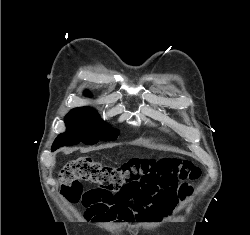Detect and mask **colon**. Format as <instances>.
Returning a JSON list of instances; mask_svg holds the SVG:
<instances>
[{"label": "colon", "mask_w": 250, "mask_h": 235, "mask_svg": "<svg viewBox=\"0 0 250 235\" xmlns=\"http://www.w3.org/2000/svg\"><path fill=\"white\" fill-rule=\"evenodd\" d=\"M201 171L185 159H133L120 166L104 164L91 156L69 160L59 173L60 194L70 203L81 201L86 216L97 222H144L130 205L139 191L177 187L181 197L191 192L189 182ZM81 181L96 183L98 189L82 193ZM181 182L180 186H177Z\"/></svg>", "instance_id": "obj_1"}]
</instances>
